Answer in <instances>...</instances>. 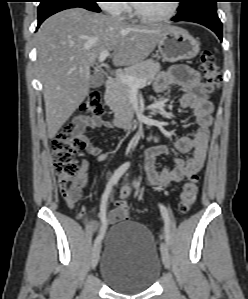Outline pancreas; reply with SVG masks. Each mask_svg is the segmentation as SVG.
Here are the masks:
<instances>
[{
    "mask_svg": "<svg viewBox=\"0 0 248 299\" xmlns=\"http://www.w3.org/2000/svg\"><path fill=\"white\" fill-rule=\"evenodd\" d=\"M160 70L161 66L158 62L153 59H147L126 69L122 74L150 81L154 79ZM130 93L131 88L117 78L111 83L106 92V104L119 117H132L134 109L130 100Z\"/></svg>",
    "mask_w": 248,
    "mask_h": 299,
    "instance_id": "obj_1",
    "label": "pancreas"
}]
</instances>
